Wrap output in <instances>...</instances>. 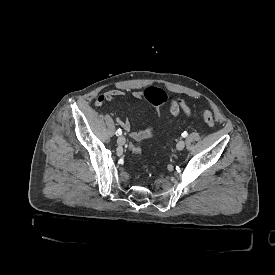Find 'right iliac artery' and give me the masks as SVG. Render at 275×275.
I'll return each instance as SVG.
<instances>
[{
    "mask_svg": "<svg viewBox=\"0 0 275 275\" xmlns=\"http://www.w3.org/2000/svg\"><path fill=\"white\" fill-rule=\"evenodd\" d=\"M121 134H122V130H121V129H118V130L116 131V135L119 136V135H121Z\"/></svg>",
    "mask_w": 275,
    "mask_h": 275,
    "instance_id": "82829eb1",
    "label": "right iliac artery"
}]
</instances>
